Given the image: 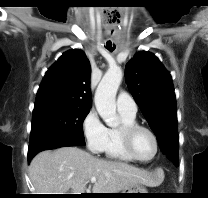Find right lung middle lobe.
<instances>
[{
	"label": "right lung middle lobe",
	"instance_id": "right-lung-middle-lobe-1",
	"mask_svg": "<svg viewBox=\"0 0 208 198\" xmlns=\"http://www.w3.org/2000/svg\"><path fill=\"white\" fill-rule=\"evenodd\" d=\"M90 108L54 104L34 108L30 144L54 136H63L85 145L83 121Z\"/></svg>",
	"mask_w": 208,
	"mask_h": 198
}]
</instances>
